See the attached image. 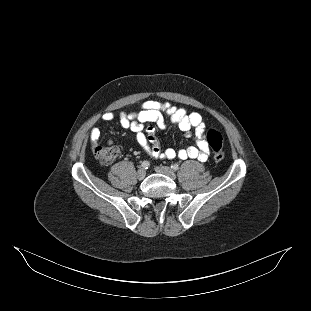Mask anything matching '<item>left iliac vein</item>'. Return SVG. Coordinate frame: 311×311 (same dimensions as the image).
I'll use <instances>...</instances> for the list:
<instances>
[{
  "mask_svg": "<svg viewBox=\"0 0 311 311\" xmlns=\"http://www.w3.org/2000/svg\"><path fill=\"white\" fill-rule=\"evenodd\" d=\"M155 171L161 174H164L166 176H168L171 179H175L176 178V174L174 173V171L167 166H158L155 168Z\"/></svg>",
  "mask_w": 311,
  "mask_h": 311,
  "instance_id": "4c4485c4",
  "label": "left iliac vein"
}]
</instances>
